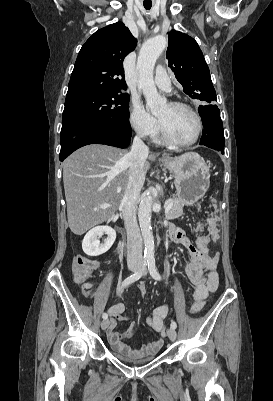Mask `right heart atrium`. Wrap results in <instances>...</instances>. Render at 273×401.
I'll return each instance as SVG.
<instances>
[{
  "label": "right heart atrium",
  "instance_id": "d8ad5b80",
  "mask_svg": "<svg viewBox=\"0 0 273 401\" xmlns=\"http://www.w3.org/2000/svg\"><path fill=\"white\" fill-rule=\"evenodd\" d=\"M131 127L140 138H150L158 130V121L139 101H133L130 107Z\"/></svg>",
  "mask_w": 273,
  "mask_h": 401
}]
</instances>
